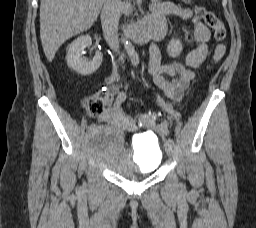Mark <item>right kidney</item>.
Masks as SVG:
<instances>
[{
	"instance_id": "1",
	"label": "right kidney",
	"mask_w": 256,
	"mask_h": 228,
	"mask_svg": "<svg viewBox=\"0 0 256 228\" xmlns=\"http://www.w3.org/2000/svg\"><path fill=\"white\" fill-rule=\"evenodd\" d=\"M92 45L89 35H83L75 39L67 48V64L68 66L81 76L93 74L102 63V53L96 52L92 61L88 62L82 58V51Z\"/></svg>"
}]
</instances>
